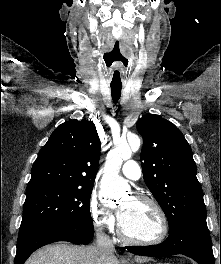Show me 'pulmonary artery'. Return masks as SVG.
Instances as JSON below:
<instances>
[{
    "instance_id": "pulmonary-artery-1",
    "label": "pulmonary artery",
    "mask_w": 221,
    "mask_h": 264,
    "mask_svg": "<svg viewBox=\"0 0 221 264\" xmlns=\"http://www.w3.org/2000/svg\"><path fill=\"white\" fill-rule=\"evenodd\" d=\"M122 174L130 180H139L142 172L139 164L134 160H128L122 167Z\"/></svg>"
}]
</instances>
